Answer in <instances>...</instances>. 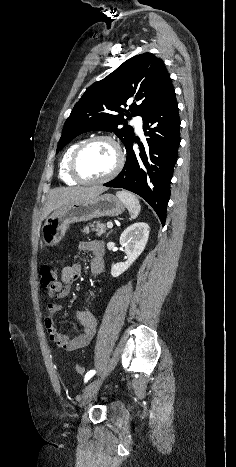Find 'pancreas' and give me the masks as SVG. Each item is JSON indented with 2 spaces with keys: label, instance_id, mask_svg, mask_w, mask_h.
Listing matches in <instances>:
<instances>
[{
  "label": "pancreas",
  "instance_id": "pancreas-1",
  "mask_svg": "<svg viewBox=\"0 0 236 467\" xmlns=\"http://www.w3.org/2000/svg\"><path fill=\"white\" fill-rule=\"evenodd\" d=\"M91 230L97 232V236L100 237L102 234L106 232V226L102 222H93V224H90ZM83 232L86 234H89V226H86L83 229Z\"/></svg>",
  "mask_w": 236,
  "mask_h": 467
}]
</instances>
